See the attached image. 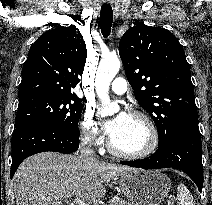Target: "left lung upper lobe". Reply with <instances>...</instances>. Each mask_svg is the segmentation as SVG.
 Returning a JSON list of instances; mask_svg holds the SVG:
<instances>
[{"label":"left lung upper lobe","instance_id":"left-lung-upper-lobe-1","mask_svg":"<svg viewBox=\"0 0 212 205\" xmlns=\"http://www.w3.org/2000/svg\"><path fill=\"white\" fill-rule=\"evenodd\" d=\"M119 55L135 98L155 122L163 146L180 124L198 118L183 47L166 29L136 25L122 36Z\"/></svg>","mask_w":212,"mask_h":205}]
</instances>
